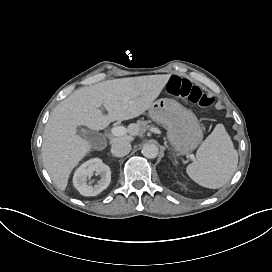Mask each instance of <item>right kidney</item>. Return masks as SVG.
I'll use <instances>...</instances> for the list:
<instances>
[{
  "mask_svg": "<svg viewBox=\"0 0 272 272\" xmlns=\"http://www.w3.org/2000/svg\"><path fill=\"white\" fill-rule=\"evenodd\" d=\"M93 173L100 179L89 181ZM111 181V169L100 159H92L84 163L75 173L73 183L75 188L84 196H96L105 190ZM94 184V185H92Z\"/></svg>",
  "mask_w": 272,
  "mask_h": 272,
  "instance_id": "right-kidney-1",
  "label": "right kidney"
}]
</instances>
